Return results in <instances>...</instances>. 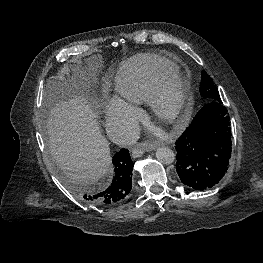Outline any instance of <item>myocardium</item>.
Here are the masks:
<instances>
[{
    "label": "myocardium",
    "mask_w": 263,
    "mask_h": 263,
    "mask_svg": "<svg viewBox=\"0 0 263 263\" xmlns=\"http://www.w3.org/2000/svg\"><path fill=\"white\" fill-rule=\"evenodd\" d=\"M168 87H172L176 94L175 105L171 108L164 105V94ZM146 104L155 119L169 126H178L191 112L189 86L178 71L162 74L153 82Z\"/></svg>",
    "instance_id": "1"
}]
</instances>
